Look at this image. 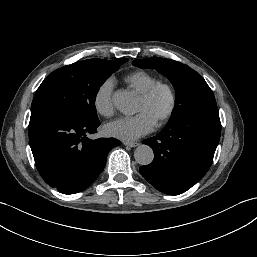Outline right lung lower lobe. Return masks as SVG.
<instances>
[{"mask_svg": "<svg viewBox=\"0 0 257 257\" xmlns=\"http://www.w3.org/2000/svg\"><path fill=\"white\" fill-rule=\"evenodd\" d=\"M99 125V119L72 121L49 114L30 117L31 150L36 167L48 185L63 194H74L99 176L108 152L121 144L114 138L89 139Z\"/></svg>", "mask_w": 257, "mask_h": 257, "instance_id": "98d812e1", "label": "right lung lower lobe"}]
</instances>
